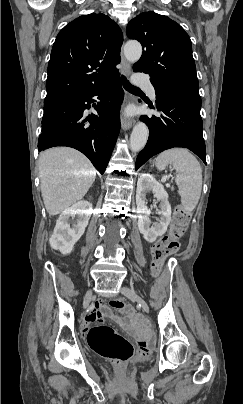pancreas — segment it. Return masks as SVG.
Listing matches in <instances>:
<instances>
[{
  "instance_id": "cf45deb5",
  "label": "pancreas",
  "mask_w": 243,
  "mask_h": 404,
  "mask_svg": "<svg viewBox=\"0 0 243 404\" xmlns=\"http://www.w3.org/2000/svg\"><path fill=\"white\" fill-rule=\"evenodd\" d=\"M171 190H172V192H173L174 188H171Z\"/></svg>"
}]
</instances>
